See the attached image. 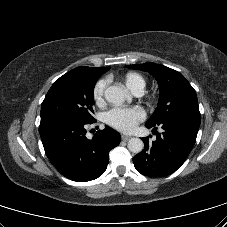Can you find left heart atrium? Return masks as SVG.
<instances>
[{"mask_svg":"<svg viewBox=\"0 0 227 227\" xmlns=\"http://www.w3.org/2000/svg\"><path fill=\"white\" fill-rule=\"evenodd\" d=\"M105 121L113 128L131 132L144 120L145 113L139 107H114L105 113Z\"/></svg>","mask_w":227,"mask_h":227,"instance_id":"1","label":"left heart atrium"}]
</instances>
